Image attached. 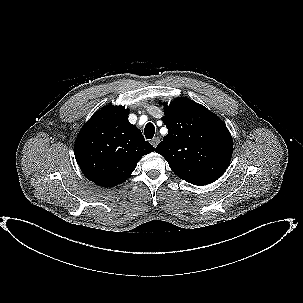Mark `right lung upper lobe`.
<instances>
[{"instance_id": "right-lung-upper-lobe-1", "label": "right lung upper lobe", "mask_w": 303, "mask_h": 303, "mask_svg": "<svg viewBox=\"0 0 303 303\" xmlns=\"http://www.w3.org/2000/svg\"><path fill=\"white\" fill-rule=\"evenodd\" d=\"M129 110L109 105L83 126L75 156L85 177L102 187L119 185L130 176L143 155L154 151L141 131L128 121Z\"/></svg>"}]
</instances>
